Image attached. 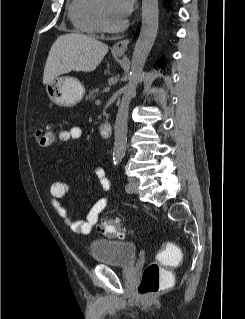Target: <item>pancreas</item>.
I'll return each mask as SVG.
<instances>
[{"instance_id":"obj_1","label":"pancreas","mask_w":245,"mask_h":319,"mask_svg":"<svg viewBox=\"0 0 245 319\" xmlns=\"http://www.w3.org/2000/svg\"><path fill=\"white\" fill-rule=\"evenodd\" d=\"M99 93V88H92L91 90H89L87 96H86V99L87 100H94L95 97L98 95Z\"/></svg>"}]
</instances>
